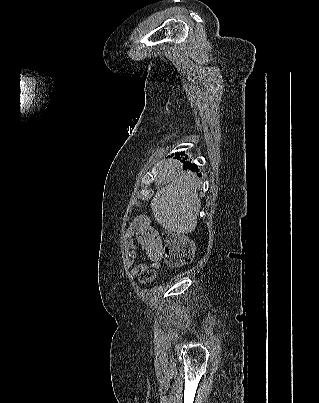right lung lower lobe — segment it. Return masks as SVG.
I'll return each mask as SVG.
<instances>
[{"instance_id":"98d812e1","label":"right lung lower lobe","mask_w":319,"mask_h":403,"mask_svg":"<svg viewBox=\"0 0 319 403\" xmlns=\"http://www.w3.org/2000/svg\"><path fill=\"white\" fill-rule=\"evenodd\" d=\"M184 154H185V153L182 152V155H184ZM176 158L179 159V154H178V153H176ZM187 167H189L192 171H198L197 166H196V165H192L190 162H187ZM187 167H186V168H187Z\"/></svg>"}]
</instances>
